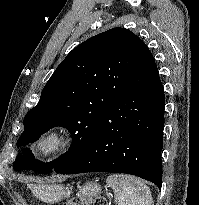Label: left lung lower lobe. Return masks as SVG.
<instances>
[{
	"instance_id": "0a47b994",
	"label": "left lung lower lobe",
	"mask_w": 199,
	"mask_h": 205,
	"mask_svg": "<svg viewBox=\"0 0 199 205\" xmlns=\"http://www.w3.org/2000/svg\"><path fill=\"white\" fill-rule=\"evenodd\" d=\"M164 90L153 55L143 46L125 91L105 113L81 156L60 174H132L162 186Z\"/></svg>"
}]
</instances>
